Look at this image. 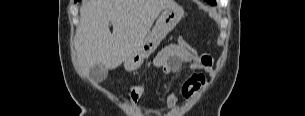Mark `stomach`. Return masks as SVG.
<instances>
[{
    "label": "stomach",
    "instance_id": "stomach-1",
    "mask_svg": "<svg viewBox=\"0 0 305 116\" xmlns=\"http://www.w3.org/2000/svg\"><path fill=\"white\" fill-rule=\"evenodd\" d=\"M183 17L184 9L178 5L165 9L139 47L124 61L125 69L135 71L140 68Z\"/></svg>",
    "mask_w": 305,
    "mask_h": 116
}]
</instances>
